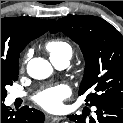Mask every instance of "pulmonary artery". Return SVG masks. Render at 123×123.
<instances>
[{
	"instance_id": "pulmonary-artery-1",
	"label": "pulmonary artery",
	"mask_w": 123,
	"mask_h": 123,
	"mask_svg": "<svg viewBox=\"0 0 123 123\" xmlns=\"http://www.w3.org/2000/svg\"><path fill=\"white\" fill-rule=\"evenodd\" d=\"M53 64L59 68V69H64L69 65V58H62L59 60H52ZM24 96V94L22 92L19 91H15L11 94V98L12 99H16L18 97H22Z\"/></svg>"
}]
</instances>
